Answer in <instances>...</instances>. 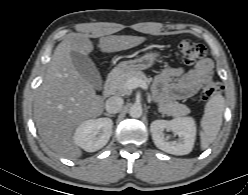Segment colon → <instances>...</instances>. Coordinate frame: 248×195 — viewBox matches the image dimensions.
Listing matches in <instances>:
<instances>
[{
	"instance_id": "5ec220e1",
	"label": "colon",
	"mask_w": 248,
	"mask_h": 195,
	"mask_svg": "<svg viewBox=\"0 0 248 195\" xmlns=\"http://www.w3.org/2000/svg\"><path fill=\"white\" fill-rule=\"evenodd\" d=\"M181 60L186 65H193L206 56V48L203 44L184 39L178 44ZM222 89L221 84L213 79L204 81L201 89V100L207 101Z\"/></svg>"
}]
</instances>
